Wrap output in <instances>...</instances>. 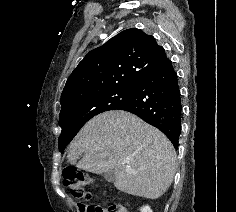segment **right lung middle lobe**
I'll return each mask as SVG.
<instances>
[{
  "mask_svg": "<svg viewBox=\"0 0 236 212\" xmlns=\"http://www.w3.org/2000/svg\"><path fill=\"white\" fill-rule=\"evenodd\" d=\"M135 89L136 86L116 88L63 106L59 117V126L62 128L58 140L60 152L63 153L65 147L88 120L99 113L117 109L133 96Z\"/></svg>",
  "mask_w": 236,
  "mask_h": 212,
  "instance_id": "dd1d6c3e",
  "label": "right lung middle lobe"
}]
</instances>
